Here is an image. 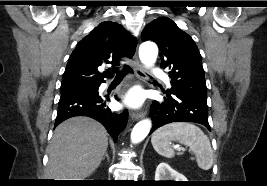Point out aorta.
<instances>
[{"label":"aorta","instance_id":"762f6f07","mask_svg":"<svg viewBox=\"0 0 267 186\" xmlns=\"http://www.w3.org/2000/svg\"><path fill=\"white\" fill-rule=\"evenodd\" d=\"M158 55V48L153 42H144L139 48V57L141 62L146 67H151L154 65ZM151 121L149 119L142 120L138 122L132 132H131V141L133 143H139L142 141L150 132Z\"/></svg>","mask_w":267,"mask_h":186}]
</instances>
